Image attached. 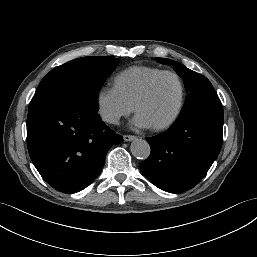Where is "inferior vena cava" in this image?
I'll return each instance as SVG.
<instances>
[{"label": "inferior vena cava", "mask_w": 257, "mask_h": 257, "mask_svg": "<svg viewBox=\"0 0 257 257\" xmlns=\"http://www.w3.org/2000/svg\"><path fill=\"white\" fill-rule=\"evenodd\" d=\"M102 118L104 121L112 123V124L118 123V120H119V116L117 114H113V113H103Z\"/></svg>", "instance_id": "1"}]
</instances>
